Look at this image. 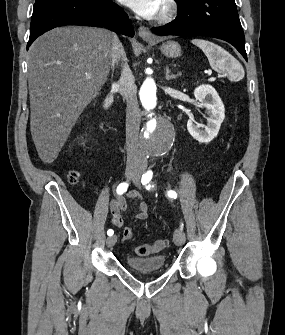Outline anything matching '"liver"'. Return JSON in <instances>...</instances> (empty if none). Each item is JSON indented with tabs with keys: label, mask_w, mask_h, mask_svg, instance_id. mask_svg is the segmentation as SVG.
I'll return each instance as SVG.
<instances>
[{
	"label": "liver",
	"mask_w": 285,
	"mask_h": 335,
	"mask_svg": "<svg viewBox=\"0 0 285 335\" xmlns=\"http://www.w3.org/2000/svg\"><path fill=\"white\" fill-rule=\"evenodd\" d=\"M113 38L103 28L68 26L46 32L29 48L30 128L45 164L58 158L79 116L104 86Z\"/></svg>",
	"instance_id": "liver-1"
}]
</instances>
